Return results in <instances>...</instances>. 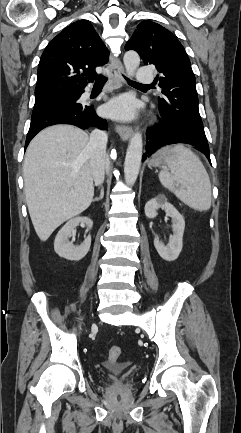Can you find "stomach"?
<instances>
[{"label": "stomach", "mask_w": 241, "mask_h": 433, "mask_svg": "<svg viewBox=\"0 0 241 433\" xmlns=\"http://www.w3.org/2000/svg\"><path fill=\"white\" fill-rule=\"evenodd\" d=\"M170 147H165L161 150H159L149 161L148 166L149 167H160L164 168L166 164L167 158L171 157L170 154Z\"/></svg>", "instance_id": "1"}]
</instances>
